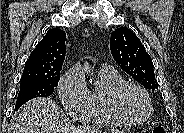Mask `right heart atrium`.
I'll return each mask as SVG.
<instances>
[{
	"label": "right heart atrium",
	"mask_w": 184,
	"mask_h": 133,
	"mask_svg": "<svg viewBox=\"0 0 184 133\" xmlns=\"http://www.w3.org/2000/svg\"><path fill=\"white\" fill-rule=\"evenodd\" d=\"M58 95L69 117L76 121L87 120L91 107V92L79 69L71 68L61 77Z\"/></svg>",
	"instance_id": "d8ad5b80"
}]
</instances>
